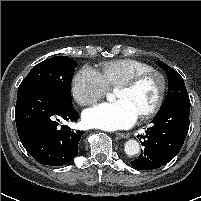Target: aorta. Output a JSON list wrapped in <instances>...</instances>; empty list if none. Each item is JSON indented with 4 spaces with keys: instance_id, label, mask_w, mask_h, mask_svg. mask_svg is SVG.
I'll return each mask as SVG.
<instances>
[{
    "instance_id": "762f6f07",
    "label": "aorta",
    "mask_w": 201,
    "mask_h": 201,
    "mask_svg": "<svg viewBox=\"0 0 201 201\" xmlns=\"http://www.w3.org/2000/svg\"><path fill=\"white\" fill-rule=\"evenodd\" d=\"M124 151L128 156H134L139 153L140 145L136 140L130 139L126 141L124 145Z\"/></svg>"
}]
</instances>
